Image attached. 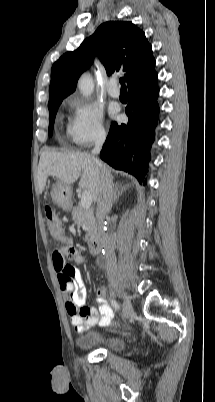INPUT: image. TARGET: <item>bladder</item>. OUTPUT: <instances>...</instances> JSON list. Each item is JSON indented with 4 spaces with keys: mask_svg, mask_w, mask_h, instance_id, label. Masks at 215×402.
I'll list each match as a JSON object with an SVG mask.
<instances>
[{
    "mask_svg": "<svg viewBox=\"0 0 215 402\" xmlns=\"http://www.w3.org/2000/svg\"><path fill=\"white\" fill-rule=\"evenodd\" d=\"M82 350L100 349L107 352H120L125 348V341L118 336H103L97 332H88L76 339Z\"/></svg>",
    "mask_w": 215,
    "mask_h": 402,
    "instance_id": "1",
    "label": "bladder"
}]
</instances>
